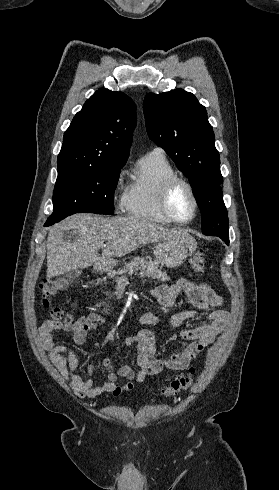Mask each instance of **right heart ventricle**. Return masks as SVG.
Masks as SVG:
<instances>
[{"mask_svg": "<svg viewBox=\"0 0 279 490\" xmlns=\"http://www.w3.org/2000/svg\"><path fill=\"white\" fill-rule=\"evenodd\" d=\"M176 172L165 155L150 152L139 161L137 178L129 187L124 200L127 213L139 220L171 225L163 212L161 197L168 178Z\"/></svg>", "mask_w": 279, "mask_h": 490, "instance_id": "obj_1", "label": "right heart ventricle"}]
</instances>
